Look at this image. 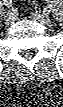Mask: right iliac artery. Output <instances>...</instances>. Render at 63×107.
<instances>
[{"instance_id": "1", "label": "right iliac artery", "mask_w": 63, "mask_h": 107, "mask_svg": "<svg viewBox=\"0 0 63 107\" xmlns=\"http://www.w3.org/2000/svg\"><path fill=\"white\" fill-rule=\"evenodd\" d=\"M4 5L9 9L12 6V2L10 0H4Z\"/></svg>"}]
</instances>
